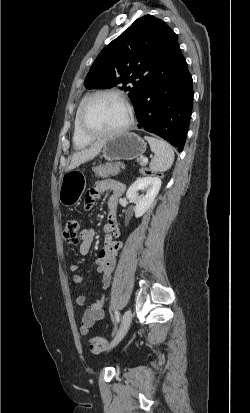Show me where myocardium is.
<instances>
[{"mask_svg": "<svg viewBox=\"0 0 250 413\" xmlns=\"http://www.w3.org/2000/svg\"><path fill=\"white\" fill-rule=\"evenodd\" d=\"M104 95H109V96H114L116 98H118L120 101L123 102V104L126 106L127 108V112H128V119L127 122L119 129L111 131V132H95L92 131L91 129H89V127L87 126L86 123V114L87 111L91 105V103L99 96H104ZM135 120V113H134V108L132 106V104L129 102V100L127 99V97L120 91L118 90H114V89H103V90H98L92 94H90L86 100L84 101L81 110H80V114H79V128L81 133L86 136L89 139H107V138H113V137H117L120 136L122 134H124L125 132H127L130 127L133 125Z\"/></svg>", "mask_w": 250, "mask_h": 413, "instance_id": "1", "label": "myocardium"}]
</instances>
